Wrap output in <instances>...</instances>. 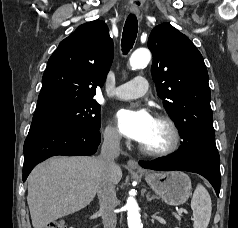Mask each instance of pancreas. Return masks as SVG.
<instances>
[{
	"mask_svg": "<svg viewBox=\"0 0 238 228\" xmlns=\"http://www.w3.org/2000/svg\"><path fill=\"white\" fill-rule=\"evenodd\" d=\"M175 218H176L178 221L181 220V216H180V215L175 214Z\"/></svg>",
	"mask_w": 238,
	"mask_h": 228,
	"instance_id": "1",
	"label": "pancreas"
}]
</instances>
